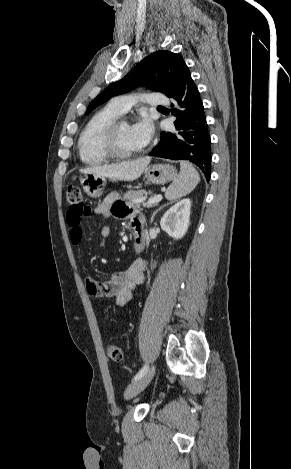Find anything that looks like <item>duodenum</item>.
<instances>
[{
    "label": "duodenum",
    "instance_id": "410a0bca",
    "mask_svg": "<svg viewBox=\"0 0 291 469\" xmlns=\"http://www.w3.org/2000/svg\"><path fill=\"white\" fill-rule=\"evenodd\" d=\"M145 246V232L142 227H134V248L136 252H141Z\"/></svg>",
    "mask_w": 291,
    "mask_h": 469
}]
</instances>
